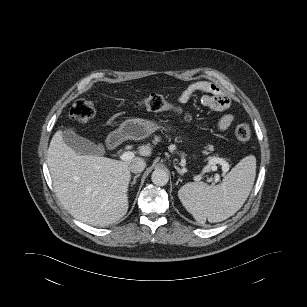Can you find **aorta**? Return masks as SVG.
Returning <instances> with one entry per match:
<instances>
[{
	"label": "aorta",
	"instance_id": "aorta-1",
	"mask_svg": "<svg viewBox=\"0 0 307 307\" xmlns=\"http://www.w3.org/2000/svg\"><path fill=\"white\" fill-rule=\"evenodd\" d=\"M151 180L156 186H165L169 180V174L165 169L157 168L153 171Z\"/></svg>",
	"mask_w": 307,
	"mask_h": 307
}]
</instances>
